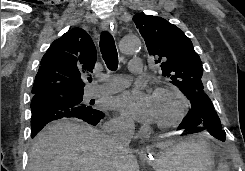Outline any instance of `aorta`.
Returning a JSON list of instances; mask_svg holds the SVG:
<instances>
[{"mask_svg":"<svg viewBox=\"0 0 245 171\" xmlns=\"http://www.w3.org/2000/svg\"><path fill=\"white\" fill-rule=\"evenodd\" d=\"M140 48V39L133 35L125 36L119 42L120 52L125 55L135 54L140 50Z\"/></svg>","mask_w":245,"mask_h":171,"instance_id":"1","label":"aorta"}]
</instances>
